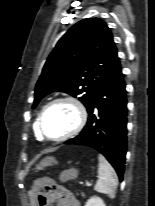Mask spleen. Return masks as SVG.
Returning a JSON list of instances; mask_svg holds the SVG:
<instances>
[{
	"mask_svg": "<svg viewBox=\"0 0 155 206\" xmlns=\"http://www.w3.org/2000/svg\"><path fill=\"white\" fill-rule=\"evenodd\" d=\"M98 160H99V168H98L99 178L96 182L94 190L99 193L106 194L111 199H113L115 197V191L118 185L117 174L104 156L99 155Z\"/></svg>",
	"mask_w": 155,
	"mask_h": 206,
	"instance_id": "spleen-1",
	"label": "spleen"
}]
</instances>
